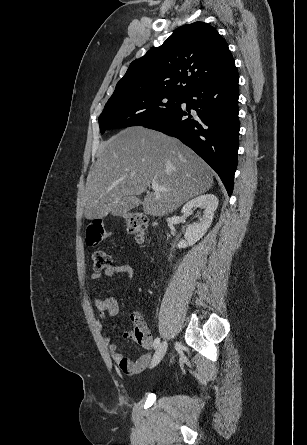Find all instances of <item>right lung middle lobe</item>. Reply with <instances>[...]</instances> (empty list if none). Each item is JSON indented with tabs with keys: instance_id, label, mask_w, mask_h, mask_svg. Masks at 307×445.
<instances>
[{
	"instance_id": "right-lung-middle-lobe-1",
	"label": "right lung middle lobe",
	"mask_w": 307,
	"mask_h": 445,
	"mask_svg": "<svg viewBox=\"0 0 307 445\" xmlns=\"http://www.w3.org/2000/svg\"><path fill=\"white\" fill-rule=\"evenodd\" d=\"M184 96L151 94L112 97L99 116L100 131L129 126H143L178 107Z\"/></svg>"
}]
</instances>
